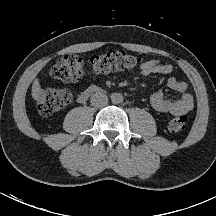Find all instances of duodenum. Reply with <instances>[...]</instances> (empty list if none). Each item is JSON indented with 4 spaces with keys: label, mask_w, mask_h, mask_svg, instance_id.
I'll return each instance as SVG.
<instances>
[{
    "label": "duodenum",
    "mask_w": 216,
    "mask_h": 216,
    "mask_svg": "<svg viewBox=\"0 0 216 216\" xmlns=\"http://www.w3.org/2000/svg\"><path fill=\"white\" fill-rule=\"evenodd\" d=\"M100 92H101L100 88H98V87H90L86 91L82 92L80 94V97L82 99H87L90 95L95 94V93H100Z\"/></svg>",
    "instance_id": "duodenum-1"
}]
</instances>
